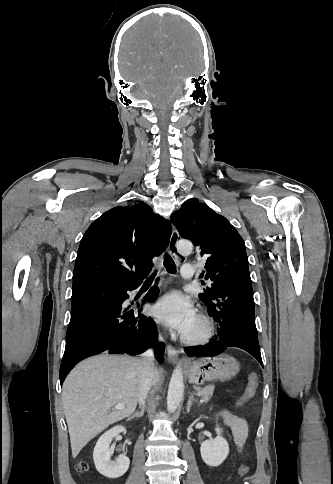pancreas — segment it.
<instances>
[{
    "label": "pancreas",
    "instance_id": "cf45deb5",
    "mask_svg": "<svg viewBox=\"0 0 333 484\" xmlns=\"http://www.w3.org/2000/svg\"><path fill=\"white\" fill-rule=\"evenodd\" d=\"M215 386L213 384L207 385L204 388L201 387H195V390L197 391V395L201 397L204 401L208 402L214 391Z\"/></svg>",
    "mask_w": 333,
    "mask_h": 484
}]
</instances>
